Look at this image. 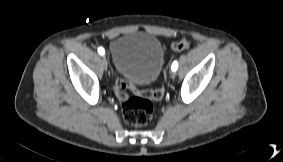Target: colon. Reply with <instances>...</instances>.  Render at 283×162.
Returning <instances> with one entry per match:
<instances>
[{"label":"colon","instance_id":"obj_1","mask_svg":"<svg viewBox=\"0 0 283 162\" xmlns=\"http://www.w3.org/2000/svg\"><path fill=\"white\" fill-rule=\"evenodd\" d=\"M190 42L183 38L172 44L174 51H182L188 49ZM115 90L118 99L122 102V113L125 122L130 126L143 127L148 125L154 117L155 100H160L164 95L163 86L154 90L138 91L134 86L124 79H117ZM129 91L134 92L133 96L129 95Z\"/></svg>","mask_w":283,"mask_h":162}]
</instances>
